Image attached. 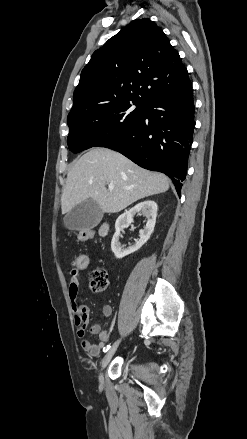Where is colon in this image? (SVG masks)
<instances>
[{
	"mask_svg": "<svg viewBox=\"0 0 247 439\" xmlns=\"http://www.w3.org/2000/svg\"><path fill=\"white\" fill-rule=\"evenodd\" d=\"M94 233L91 230H82L78 233L77 238L81 242L91 240ZM90 259L87 254H80L75 257L73 265L75 269L85 270L89 265ZM108 285L107 273L102 268H97L90 272V287L95 292H100L106 289Z\"/></svg>",
	"mask_w": 247,
	"mask_h": 439,
	"instance_id": "colon-1",
	"label": "colon"
}]
</instances>
